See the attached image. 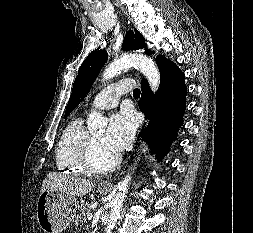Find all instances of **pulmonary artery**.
Returning <instances> with one entry per match:
<instances>
[{
    "label": "pulmonary artery",
    "mask_w": 253,
    "mask_h": 233,
    "mask_svg": "<svg viewBox=\"0 0 253 233\" xmlns=\"http://www.w3.org/2000/svg\"><path fill=\"white\" fill-rule=\"evenodd\" d=\"M134 82L131 78H125L100 91L93 99L91 106L98 109H110L115 107L120 97L132 89Z\"/></svg>",
    "instance_id": "e3ab8cb5"
}]
</instances>
